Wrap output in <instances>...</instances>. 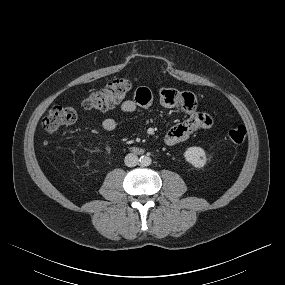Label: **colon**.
I'll use <instances>...</instances> for the list:
<instances>
[{
	"label": "colon",
	"mask_w": 285,
	"mask_h": 285,
	"mask_svg": "<svg viewBox=\"0 0 285 285\" xmlns=\"http://www.w3.org/2000/svg\"><path fill=\"white\" fill-rule=\"evenodd\" d=\"M133 82L127 77H120L109 82L104 88L91 92L83 101L85 109L106 110L120 103L131 91ZM78 111L75 107L56 105L52 107L42 120V126L47 132H55L63 126L75 123ZM228 137L234 144H241L246 138V128L243 125L233 127Z\"/></svg>",
	"instance_id": "colon-1"
}]
</instances>
